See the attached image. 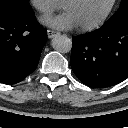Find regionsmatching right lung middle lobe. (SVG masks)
Returning <instances> with one entry per match:
<instances>
[{"label": "right lung middle lobe", "mask_w": 128, "mask_h": 128, "mask_svg": "<svg viewBox=\"0 0 128 128\" xmlns=\"http://www.w3.org/2000/svg\"><path fill=\"white\" fill-rule=\"evenodd\" d=\"M32 10L29 0H0V11H29Z\"/></svg>", "instance_id": "1"}]
</instances>
